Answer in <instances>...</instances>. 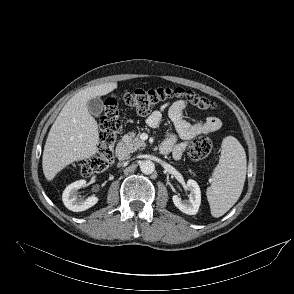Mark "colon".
I'll list each match as a JSON object with an SVG mask.
<instances>
[{"label":"colon","instance_id":"1","mask_svg":"<svg viewBox=\"0 0 294 294\" xmlns=\"http://www.w3.org/2000/svg\"><path fill=\"white\" fill-rule=\"evenodd\" d=\"M186 98L193 106L201 110L213 109L215 102L191 90L183 88L134 89L124 94L125 104L140 115L149 114L159 103L171 98ZM100 138L97 152L80 163L84 176H92L106 170L114 161V144L122 129L118 102L116 98H109L104 112L99 120ZM212 143L206 137L193 138L188 143V154L196 161L209 156Z\"/></svg>","mask_w":294,"mask_h":294}]
</instances>
